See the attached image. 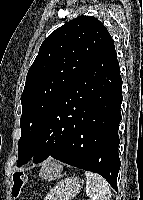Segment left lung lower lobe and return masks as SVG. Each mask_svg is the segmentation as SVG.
Instances as JSON below:
<instances>
[{"label": "left lung lower lobe", "instance_id": "left-lung-lower-lobe-1", "mask_svg": "<svg viewBox=\"0 0 143 200\" xmlns=\"http://www.w3.org/2000/svg\"><path fill=\"white\" fill-rule=\"evenodd\" d=\"M121 88L119 63L111 40L48 114L38 135L33 163L51 156L102 175L118 190ZM64 110L56 122L55 117Z\"/></svg>", "mask_w": 143, "mask_h": 200}]
</instances>
